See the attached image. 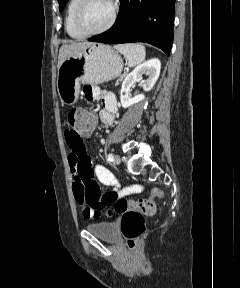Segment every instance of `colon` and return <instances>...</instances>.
Listing matches in <instances>:
<instances>
[{
  "instance_id": "obj_1",
  "label": "colon",
  "mask_w": 240,
  "mask_h": 288,
  "mask_svg": "<svg viewBox=\"0 0 240 288\" xmlns=\"http://www.w3.org/2000/svg\"><path fill=\"white\" fill-rule=\"evenodd\" d=\"M95 123V114L84 108H74L66 116L67 129L77 136L91 131ZM162 196L161 190L157 188L153 189L152 198L136 201L119 198L115 191L101 193V191L90 190L86 194L84 209L93 208L95 216H97L99 215V209L104 208L109 203H114V209L109 210L108 214L111 215L116 212L122 216L121 231L128 247L133 249L145 230V217L155 214L154 198H161Z\"/></svg>"
}]
</instances>
